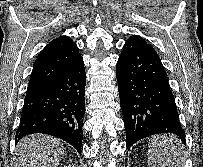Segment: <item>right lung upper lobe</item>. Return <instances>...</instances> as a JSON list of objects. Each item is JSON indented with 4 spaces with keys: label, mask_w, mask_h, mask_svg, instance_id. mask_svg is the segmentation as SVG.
I'll use <instances>...</instances> for the list:
<instances>
[{
    "label": "right lung upper lobe",
    "mask_w": 203,
    "mask_h": 167,
    "mask_svg": "<svg viewBox=\"0 0 203 167\" xmlns=\"http://www.w3.org/2000/svg\"><path fill=\"white\" fill-rule=\"evenodd\" d=\"M80 57L78 48L70 37L61 36L52 40L34 62L27 92L48 85L72 67Z\"/></svg>",
    "instance_id": "right-lung-upper-lobe-1"
}]
</instances>
